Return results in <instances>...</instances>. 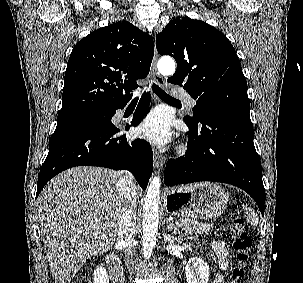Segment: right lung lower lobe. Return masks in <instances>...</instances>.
<instances>
[{
    "label": "right lung lower lobe",
    "mask_w": 303,
    "mask_h": 283,
    "mask_svg": "<svg viewBox=\"0 0 303 283\" xmlns=\"http://www.w3.org/2000/svg\"><path fill=\"white\" fill-rule=\"evenodd\" d=\"M150 94L144 93L131 126L137 125L149 110ZM124 106L118 108L122 109ZM116 108V109H118ZM111 110L112 116L115 111ZM129 125L126 126L128 130ZM113 126L102 128L70 126L54 131L49 152L40 169L36 198L45 184L58 173L75 166H100L129 170L142 189H146L153 169V152L143 139L127 141Z\"/></svg>",
    "instance_id": "98d812e1"
}]
</instances>
